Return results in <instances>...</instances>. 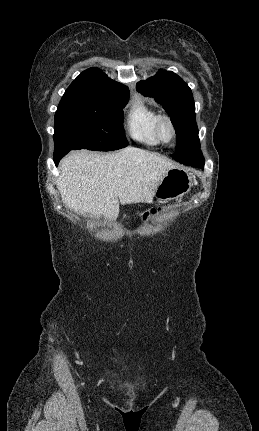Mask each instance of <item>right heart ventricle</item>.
<instances>
[{
  "instance_id": "1",
  "label": "right heart ventricle",
  "mask_w": 259,
  "mask_h": 431,
  "mask_svg": "<svg viewBox=\"0 0 259 431\" xmlns=\"http://www.w3.org/2000/svg\"><path fill=\"white\" fill-rule=\"evenodd\" d=\"M160 114L143 100H134L126 116V128L132 139L147 146L160 144L155 132L156 120Z\"/></svg>"
}]
</instances>
